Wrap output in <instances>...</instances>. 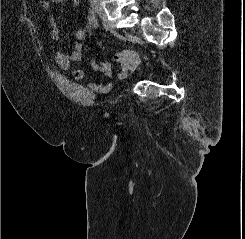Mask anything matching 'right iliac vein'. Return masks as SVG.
<instances>
[{"mask_svg": "<svg viewBox=\"0 0 245 239\" xmlns=\"http://www.w3.org/2000/svg\"><path fill=\"white\" fill-rule=\"evenodd\" d=\"M93 10L98 14V16L102 19V21L108 25L109 29H111L112 31H115V28L111 25V23L109 22L104 10L102 9V7H100L99 5L94 4L93 5Z\"/></svg>", "mask_w": 245, "mask_h": 239, "instance_id": "63e3f726", "label": "right iliac vein"}]
</instances>
